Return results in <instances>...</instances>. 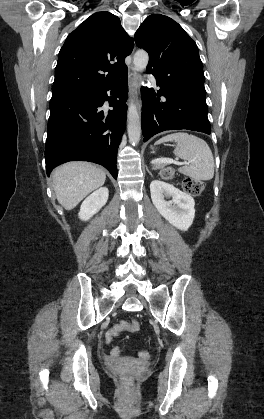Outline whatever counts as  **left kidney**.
Returning <instances> with one entry per match:
<instances>
[{
  "mask_svg": "<svg viewBox=\"0 0 264 419\" xmlns=\"http://www.w3.org/2000/svg\"><path fill=\"white\" fill-rule=\"evenodd\" d=\"M151 199L158 212L174 227L186 231L195 217L194 199L160 180L150 184ZM166 198H171L167 201Z\"/></svg>",
  "mask_w": 264,
  "mask_h": 419,
  "instance_id": "1",
  "label": "left kidney"
}]
</instances>
